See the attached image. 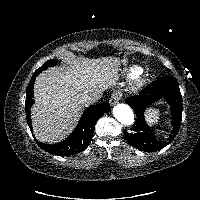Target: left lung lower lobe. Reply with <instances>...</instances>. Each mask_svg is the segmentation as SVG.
I'll return each instance as SVG.
<instances>
[{"instance_id":"left-lung-lower-lobe-1","label":"left lung lower lobe","mask_w":200,"mask_h":200,"mask_svg":"<svg viewBox=\"0 0 200 200\" xmlns=\"http://www.w3.org/2000/svg\"><path fill=\"white\" fill-rule=\"evenodd\" d=\"M162 97L171 106L172 114L173 130L166 140L156 138L154 130L147 126L143 115L148 106ZM126 103L134 109L137 117L131 131H124L126 140L134 148L145 152L158 151L168 145L177 135L182 120V96L174 77L166 76L155 80L139 95L127 98Z\"/></svg>"}]
</instances>
